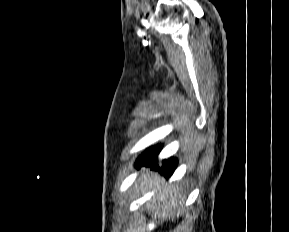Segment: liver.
Masks as SVG:
<instances>
[{
    "label": "liver",
    "mask_w": 289,
    "mask_h": 232,
    "mask_svg": "<svg viewBox=\"0 0 289 232\" xmlns=\"http://www.w3.org/2000/svg\"><path fill=\"white\" fill-rule=\"evenodd\" d=\"M164 182L165 180L158 174L151 173L149 175L148 172H143L136 181V186L142 194L153 191L156 188L159 189L146 203V206L148 212H154L161 222L167 219L173 220L176 212L179 216L182 211V203L185 199L181 190L173 185L164 186Z\"/></svg>",
    "instance_id": "1"
}]
</instances>
